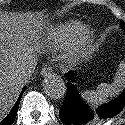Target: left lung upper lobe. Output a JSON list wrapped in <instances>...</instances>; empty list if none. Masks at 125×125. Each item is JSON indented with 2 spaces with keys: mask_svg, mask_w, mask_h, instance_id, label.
Segmentation results:
<instances>
[{
  "mask_svg": "<svg viewBox=\"0 0 125 125\" xmlns=\"http://www.w3.org/2000/svg\"><path fill=\"white\" fill-rule=\"evenodd\" d=\"M120 26H121L122 29L125 31V23H124L123 21L120 23Z\"/></svg>",
  "mask_w": 125,
  "mask_h": 125,
  "instance_id": "5c2ea615",
  "label": "left lung upper lobe"
}]
</instances>
